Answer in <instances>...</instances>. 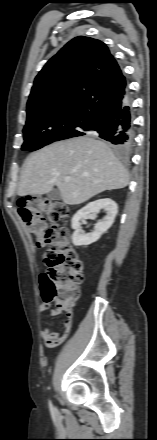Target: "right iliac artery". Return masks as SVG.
Returning a JSON list of instances; mask_svg holds the SVG:
<instances>
[{
    "label": "right iliac artery",
    "mask_w": 157,
    "mask_h": 440,
    "mask_svg": "<svg viewBox=\"0 0 157 440\" xmlns=\"http://www.w3.org/2000/svg\"><path fill=\"white\" fill-rule=\"evenodd\" d=\"M49 406H50L51 412L54 414L56 412V409L53 407L51 401H49Z\"/></svg>",
    "instance_id": "right-iliac-artery-1"
}]
</instances>
